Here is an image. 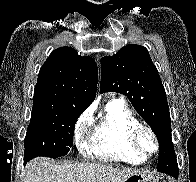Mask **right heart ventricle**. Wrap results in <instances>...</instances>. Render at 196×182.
Wrapping results in <instances>:
<instances>
[{"instance_id": "1", "label": "right heart ventricle", "mask_w": 196, "mask_h": 182, "mask_svg": "<svg viewBox=\"0 0 196 182\" xmlns=\"http://www.w3.org/2000/svg\"><path fill=\"white\" fill-rule=\"evenodd\" d=\"M138 125V118L124 101L111 100L92 131L89 154L105 161L143 163L146 158L136 152L130 142V134Z\"/></svg>"}]
</instances>
